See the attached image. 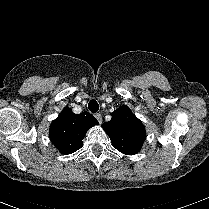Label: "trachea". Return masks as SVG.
Returning <instances> with one entry per match:
<instances>
[{
	"mask_svg": "<svg viewBox=\"0 0 209 209\" xmlns=\"http://www.w3.org/2000/svg\"><path fill=\"white\" fill-rule=\"evenodd\" d=\"M88 108L92 113H96L99 110V105L96 100H91L88 104Z\"/></svg>",
	"mask_w": 209,
	"mask_h": 209,
	"instance_id": "3493384b",
	"label": "trachea"
}]
</instances>
